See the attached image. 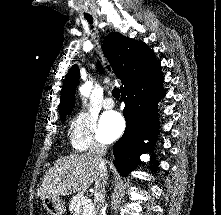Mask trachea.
Listing matches in <instances>:
<instances>
[{"label":"trachea","mask_w":221,"mask_h":215,"mask_svg":"<svg viewBox=\"0 0 221 215\" xmlns=\"http://www.w3.org/2000/svg\"><path fill=\"white\" fill-rule=\"evenodd\" d=\"M87 21L91 24V28L93 29V26H92L93 19H87ZM107 68H109V66H107ZM112 95H113L114 98L119 99V97H120V90L118 88H114L112 90Z\"/></svg>","instance_id":"trachea-1"}]
</instances>
